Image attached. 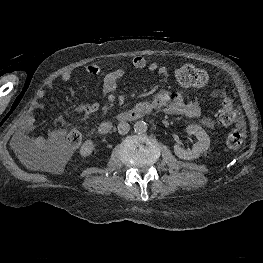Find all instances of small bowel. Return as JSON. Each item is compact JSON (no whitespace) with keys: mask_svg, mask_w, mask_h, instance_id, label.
Segmentation results:
<instances>
[{"mask_svg":"<svg viewBox=\"0 0 263 263\" xmlns=\"http://www.w3.org/2000/svg\"><path fill=\"white\" fill-rule=\"evenodd\" d=\"M132 65L137 70H146L156 77H168L170 75L169 69L160 65L157 62H147L143 57H135L132 61ZM85 71L89 75H98L101 72L100 67L97 64H88L85 66ZM127 75L124 69H115L107 73L102 82V92L109 94L113 92L118 85V82ZM62 82H68L71 80L72 75L70 72H64L59 76ZM45 95L44 90H39L37 93L38 99H42ZM152 110H161L167 114H180L190 118H198L201 115V107L195 100L186 101L185 98L178 92L162 91L150 102ZM100 104L98 102L92 104H79L77 109L88 115L98 111ZM35 119L33 116H28L25 119L23 132L21 138L29 142L32 146L38 149H48L59 146L65 138L66 130L60 125H56L52 129L47 137H29L27 133L33 128ZM202 123L207 126H213V121L209 117H204Z\"/></svg>","mask_w":263,"mask_h":263,"instance_id":"c3829d8e","label":"small bowel"}]
</instances>
